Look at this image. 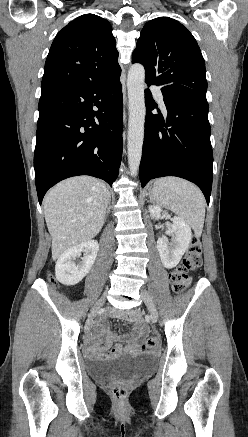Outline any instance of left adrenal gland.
I'll use <instances>...</instances> for the list:
<instances>
[{"label":"left adrenal gland","mask_w":248,"mask_h":437,"mask_svg":"<svg viewBox=\"0 0 248 437\" xmlns=\"http://www.w3.org/2000/svg\"><path fill=\"white\" fill-rule=\"evenodd\" d=\"M147 195H149L150 196V191L147 193Z\"/></svg>","instance_id":"a2214340"}]
</instances>
